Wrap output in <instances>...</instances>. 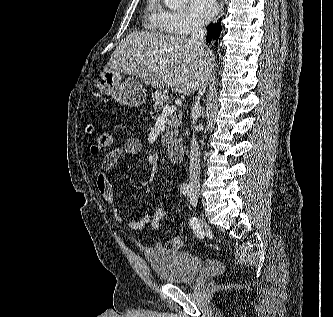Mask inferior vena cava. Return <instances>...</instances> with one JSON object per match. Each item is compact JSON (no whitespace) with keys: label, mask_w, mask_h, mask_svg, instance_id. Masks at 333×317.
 Here are the masks:
<instances>
[{"label":"inferior vena cava","mask_w":333,"mask_h":317,"mask_svg":"<svg viewBox=\"0 0 333 317\" xmlns=\"http://www.w3.org/2000/svg\"><path fill=\"white\" fill-rule=\"evenodd\" d=\"M191 41L194 44H197L201 48H205V36H206V29L203 26L196 22L193 23L191 29ZM209 79L202 78L199 82L198 86V94L195 97L194 104L191 108L192 114V124L194 125L197 118L201 112L200 106V98L206 90L207 84ZM199 177H200V150L199 145L196 141L195 135L193 133L192 140H191V151L189 155V186L192 189H199Z\"/></svg>","instance_id":"inferior-vena-cava-1"}]
</instances>
